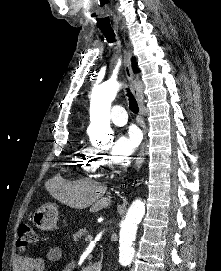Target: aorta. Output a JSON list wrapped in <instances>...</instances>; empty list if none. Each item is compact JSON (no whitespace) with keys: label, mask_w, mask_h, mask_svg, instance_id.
<instances>
[{"label":"aorta","mask_w":221,"mask_h":271,"mask_svg":"<svg viewBox=\"0 0 221 271\" xmlns=\"http://www.w3.org/2000/svg\"><path fill=\"white\" fill-rule=\"evenodd\" d=\"M120 84L116 80H108L94 90L91 100V120L96 129L107 133L110 128L111 102L119 91ZM145 214V205L137 199L129 207L125 220L122 222L119 237V263L122 266L131 264L135 249L133 243L136 230Z\"/></svg>","instance_id":"1"}]
</instances>
